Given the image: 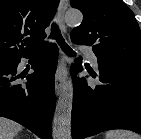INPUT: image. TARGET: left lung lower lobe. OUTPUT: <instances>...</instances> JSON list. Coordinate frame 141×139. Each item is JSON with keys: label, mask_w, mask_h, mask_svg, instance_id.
Returning <instances> with one entry per match:
<instances>
[{"label": "left lung lower lobe", "mask_w": 141, "mask_h": 139, "mask_svg": "<svg viewBox=\"0 0 141 139\" xmlns=\"http://www.w3.org/2000/svg\"><path fill=\"white\" fill-rule=\"evenodd\" d=\"M76 62L73 76L83 70L81 59ZM98 67L100 85L73 78L72 138L112 129L141 134V65L98 58Z\"/></svg>", "instance_id": "1"}]
</instances>
